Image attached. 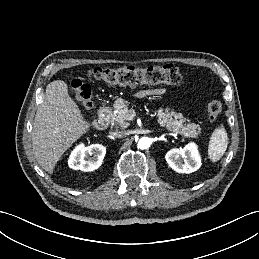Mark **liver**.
I'll list each match as a JSON object with an SVG mask.
<instances>
[{"label": "liver", "mask_w": 259, "mask_h": 259, "mask_svg": "<svg viewBox=\"0 0 259 259\" xmlns=\"http://www.w3.org/2000/svg\"><path fill=\"white\" fill-rule=\"evenodd\" d=\"M90 127L91 123L84 119L69 96L67 84L62 80L50 82L45 99L37 109L32 130V148L38 164L53 174L64 152Z\"/></svg>", "instance_id": "1"}]
</instances>
